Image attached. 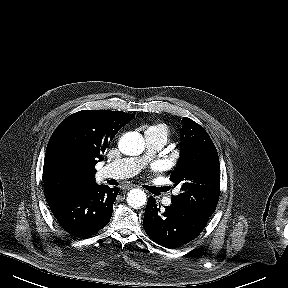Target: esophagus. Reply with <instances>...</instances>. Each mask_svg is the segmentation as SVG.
<instances>
[{
    "instance_id": "1",
    "label": "esophagus",
    "mask_w": 288,
    "mask_h": 288,
    "mask_svg": "<svg viewBox=\"0 0 288 288\" xmlns=\"http://www.w3.org/2000/svg\"><path fill=\"white\" fill-rule=\"evenodd\" d=\"M133 187H134V186L130 185V186H127L126 189L129 190V189H132Z\"/></svg>"
}]
</instances>
